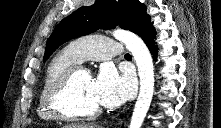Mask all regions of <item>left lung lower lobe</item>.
<instances>
[{
    "mask_svg": "<svg viewBox=\"0 0 221 128\" xmlns=\"http://www.w3.org/2000/svg\"><path fill=\"white\" fill-rule=\"evenodd\" d=\"M155 37H156V31L154 28H152L147 34V36L143 39L146 45L148 46L149 50L153 54L154 59H156L157 57V51H156L157 46L155 45V41H154Z\"/></svg>",
    "mask_w": 221,
    "mask_h": 128,
    "instance_id": "0a47b994",
    "label": "left lung lower lobe"
}]
</instances>
